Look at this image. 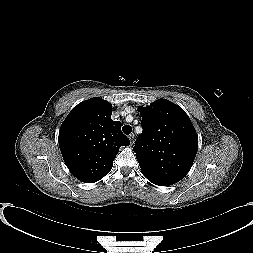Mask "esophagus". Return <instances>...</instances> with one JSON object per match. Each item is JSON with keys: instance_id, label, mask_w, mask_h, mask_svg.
I'll list each match as a JSON object with an SVG mask.
<instances>
[{"instance_id": "esophagus-1", "label": "esophagus", "mask_w": 253, "mask_h": 253, "mask_svg": "<svg viewBox=\"0 0 253 253\" xmlns=\"http://www.w3.org/2000/svg\"><path fill=\"white\" fill-rule=\"evenodd\" d=\"M129 140H130V144L133 145L134 144V134L129 135Z\"/></svg>"}]
</instances>
